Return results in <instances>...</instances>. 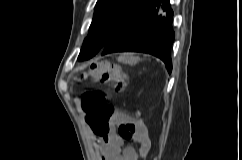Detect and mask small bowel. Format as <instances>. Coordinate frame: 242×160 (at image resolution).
<instances>
[{"instance_id": "obj_1", "label": "small bowel", "mask_w": 242, "mask_h": 160, "mask_svg": "<svg viewBox=\"0 0 242 160\" xmlns=\"http://www.w3.org/2000/svg\"><path fill=\"white\" fill-rule=\"evenodd\" d=\"M134 127L131 140L138 147L124 145L126 139L121 131L122 127ZM97 135V134H96ZM97 143L102 155V160H139L148 153L151 141L145 124L135 120L124 112H116L108 130L103 135H97Z\"/></svg>"}]
</instances>
